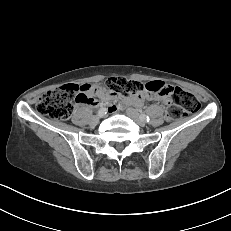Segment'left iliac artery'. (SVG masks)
<instances>
[{
    "label": "left iliac artery",
    "mask_w": 231,
    "mask_h": 231,
    "mask_svg": "<svg viewBox=\"0 0 231 231\" xmlns=\"http://www.w3.org/2000/svg\"><path fill=\"white\" fill-rule=\"evenodd\" d=\"M142 117H143L147 122L150 121V117H149L148 115L142 114Z\"/></svg>",
    "instance_id": "left-iliac-artery-1"
}]
</instances>
